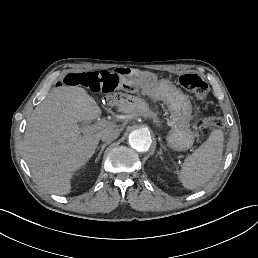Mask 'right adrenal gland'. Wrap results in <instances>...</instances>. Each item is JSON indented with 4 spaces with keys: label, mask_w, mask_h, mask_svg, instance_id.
<instances>
[{
    "label": "right adrenal gland",
    "mask_w": 258,
    "mask_h": 258,
    "mask_svg": "<svg viewBox=\"0 0 258 258\" xmlns=\"http://www.w3.org/2000/svg\"><path fill=\"white\" fill-rule=\"evenodd\" d=\"M107 145H109V142L104 143V144H102L101 146L97 147V150H99V148H101V149H100V151H99V154H98V156H97L95 162H97V161L100 159V156H101V154L103 153V151H104V149L106 148Z\"/></svg>",
    "instance_id": "obj_1"
}]
</instances>
